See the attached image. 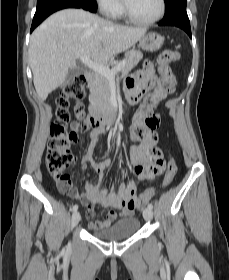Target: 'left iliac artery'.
Returning <instances> with one entry per match:
<instances>
[{"mask_svg":"<svg viewBox=\"0 0 229 280\" xmlns=\"http://www.w3.org/2000/svg\"><path fill=\"white\" fill-rule=\"evenodd\" d=\"M148 208L153 209L152 203H149V204H148Z\"/></svg>","mask_w":229,"mask_h":280,"instance_id":"left-iliac-artery-1","label":"left iliac artery"}]
</instances>
